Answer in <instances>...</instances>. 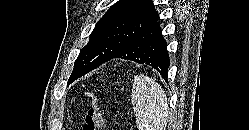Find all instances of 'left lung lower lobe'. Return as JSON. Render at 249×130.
<instances>
[{"mask_svg": "<svg viewBox=\"0 0 249 130\" xmlns=\"http://www.w3.org/2000/svg\"><path fill=\"white\" fill-rule=\"evenodd\" d=\"M114 58L132 60L156 69L167 80L170 66L167 43L156 21L136 35Z\"/></svg>", "mask_w": 249, "mask_h": 130, "instance_id": "1", "label": "left lung lower lobe"}]
</instances>
